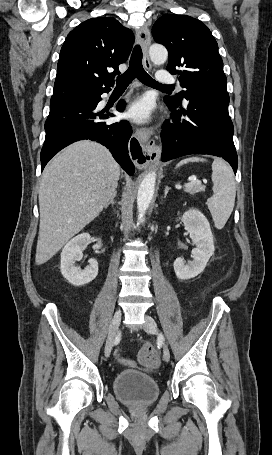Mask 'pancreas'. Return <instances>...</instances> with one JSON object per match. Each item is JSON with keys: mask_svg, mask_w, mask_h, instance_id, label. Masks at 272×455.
I'll use <instances>...</instances> for the list:
<instances>
[{"mask_svg": "<svg viewBox=\"0 0 272 455\" xmlns=\"http://www.w3.org/2000/svg\"><path fill=\"white\" fill-rule=\"evenodd\" d=\"M204 190H205V186H202V185H194L193 187L185 189L186 192H188L192 195L195 193H198V192H202Z\"/></svg>", "mask_w": 272, "mask_h": 455, "instance_id": "1", "label": "pancreas"}]
</instances>
